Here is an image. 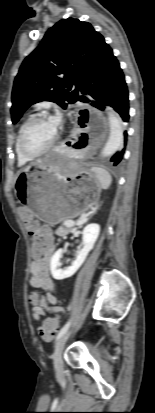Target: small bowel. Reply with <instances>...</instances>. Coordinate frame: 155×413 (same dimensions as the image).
<instances>
[{
    "mask_svg": "<svg viewBox=\"0 0 155 413\" xmlns=\"http://www.w3.org/2000/svg\"><path fill=\"white\" fill-rule=\"evenodd\" d=\"M15 211L22 218L21 224L25 231H37L46 239L47 250L42 260H34L29 267L30 280L29 284L34 289H42L46 292L45 296L40 298L36 292L30 294V299L33 305V317L38 320L46 309L62 313V309L56 306L58 291L57 285L50 277L49 266L54 249V239L51 230L48 227H43V218H31L32 212L26 205H17ZM36 297V301L32 297ZM47 304L52 305L48 308Z\"/></svg>",
    "mask_w": 155,
    "mask_h": 413,
    "instance_id": "small-bowel-1",
    "label": "small bowel"
}]
</instances>
